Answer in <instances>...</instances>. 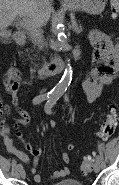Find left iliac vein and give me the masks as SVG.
<instances>
[{
    "label": "left iliac vein",
    "instance_id": "obj_1",
    "mask_svg": "<svg viewBox=\"0 0 119 185\" xmlns=\"http://www.w3.org/2000/svg\"><path fill=\"white\" fill-rule=\"evenodd\" d=\"M93 168H94V171H95L96 173H98V172L100 171L101 164H100V161H99V160H96V161H95Z\"/></svg>",
    "mask_w": 119,
    "mask_h": 185
}]
</instances>
